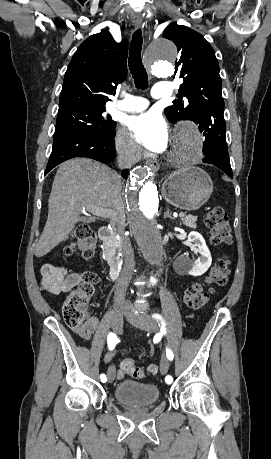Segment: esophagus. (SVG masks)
<instances>
[{
    "label": "esophagus",
    "instance_id": "esophagus-1",
    "mask_svg": "<svg viewBox=\"0 0 271 459\" xmlns=\"http://www.w3.org/2000/svg\"><path fill=\"white\" fill-rule=\"evenodd\" d=\"M133 25L137 28H140L142 26V22H134ZM144 63H145L146 68L149 70L150 66L147 64L146 61ZM146 165L150 168V170L153 173L157 172L159 169V163L153 158H149L146 161Z\"/></svg>",
    "mask_w": 271,
    "mask_h": 459
}]
</instances>
